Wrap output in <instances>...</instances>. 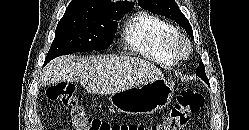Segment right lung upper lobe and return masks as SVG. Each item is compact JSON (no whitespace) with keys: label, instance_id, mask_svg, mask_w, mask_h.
Masks as SVG:
<instances>
[{"label":"right lung upper lobe","instance_id":"1","mask_svg":"<svg viewBox=\"0 0 249 130\" xmlns=\"http://www.w3.org/2000/svg\"><path fill=\"white\" fill-rule=\"evenodd\" d=\"M109 5H133V2L118 1L113 3L110 0H72L67 10L92 12Z\"/></svg>","mask_w":249,"mask_h":130}]
</instances>
